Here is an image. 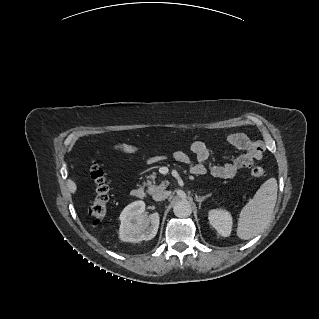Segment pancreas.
I'll use <instances>...</instances> for the list:
<instances>
[{"instance_id": "obj_1", "label": "pancreas", "mask_w": 319, "mask_h": 319, "mask_svg": "<svg viewBox=\"0 0 319 319\" xmlns=\"http://www.w3.org/2000/svg\"><path fill=\"white\" fill-rule=\"evenodd\" d=\"M150 180L147 181V185H148V193L149 194H153L159 190H164L166 189V187L168 186V182L164 181L162 183H160L159 185L155 184V175H151L149 177Z\"/></svg>"}]
</instances>
